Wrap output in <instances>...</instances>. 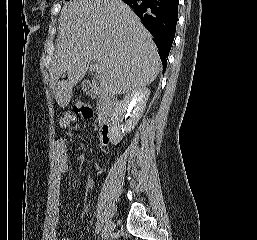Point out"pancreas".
<instances>
[{"label": "pancreas", "instance_id": "pancreas-1", "mask_svg": "<svg viewBox=\"0 0 257 240\" xmlns=\"http://www.w3.org/2000/svg\"><path fill=\"white\" fill-rule=\"evenodd\" d=\"M97 109L103 110L104 109V102L102 100H99L97 102Z\"/></svg>", "mask_w": 257, "mask_h": 240}]
</instances>
